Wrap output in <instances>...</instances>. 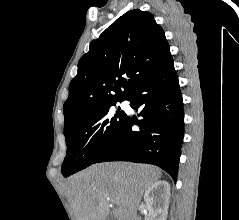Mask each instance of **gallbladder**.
Listing matches in <instances>:
<instances>
[{"label":"gallbladder","instance_id":"obj_1","mask_svg":"<svg viewBox=\"0 0 239 220\" xmlns=\"http://www.w3.org/2000/svg\"><path fill=\"white\" fill-rule=\"evenodd\" d=\"M106 220H115V219H114L113 216L110 215V216H108V217L106 218Z\"/></svg>","mask_w":239,"mask_h":220}]
</instances>
